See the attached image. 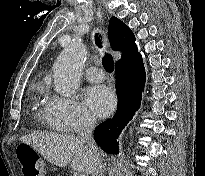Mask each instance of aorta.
Wrapping results in <instances>:
<instances>
[{
    "mask_svg": "<svg viewBox=\"0 0 205 176\" xmlns=\"http://www.w3.org/2000/svg\"><path fill=\"white\" fill-rule=\"evenodd\" d=\"M87 50L80 41L72 42L54 64V89L62 96H72L80 85Z\"/></svg>",
    "mask_w": 205,
    "mask_h": 176,
    "instance_id": "1",
    "label": "aorta"
}]
</instances>
